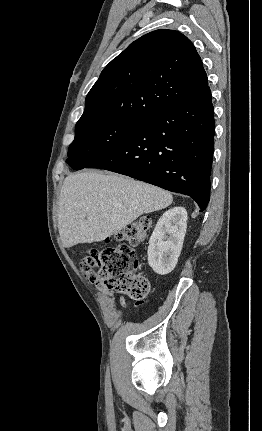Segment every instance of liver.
<instances>
[{"instance_id": "obj_1", "label": "liver", "mask_w": 262, "mask_h": 431, "mask_svg": "<svg viewBox=\"0 0 262 431\" xmlns=\"http://www.w3.org/2000/svg\"><path fill=\"white\" fill-rule=\"evenodd\" d=\"M172 195L113 173L86 171L65 178L59 198L58 229L64 247L99 242L142 214L164 209Z\"/></svg>"}]
</instances>
